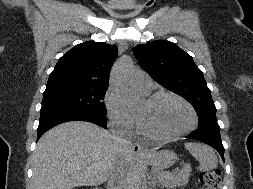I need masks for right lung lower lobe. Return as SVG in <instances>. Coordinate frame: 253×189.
Wrapping results in <instances>:
<instances>
[{"mask_svg": "<svg viewBox=\"0 0 253 189\" xmlns=\"http://www.w3.org/2000/svg\"><path fill=\"white\" fill-rule=\"evenodd\" d=\"M67 121H88L105 128L107 126L105 116L69 110H46L40 113L37 140L49 129Z\"/></svg>", "mask_w": 253, "mask_h": 189, "instance_id": "98d812e1", "label": "right lung lower lobe"}]
</instances>
